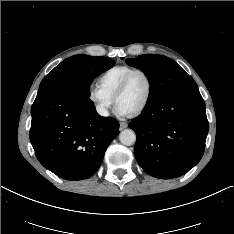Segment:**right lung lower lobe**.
<instances>
[{"label": "right lung lower lobe", "mask_w": 234, "mask_h": 234, "mask_svg": "<svg viewBox=\"0 0 234 234\" xmlns=\"http://www.w3.org/2000/svg\"><path fill=\"white\" fill-rule=\"evenodd\" d=\"M30 141L39 162L57 176L83 180L100 167L119 123L97 114L92 101L68 82L38 90Z\"/></svg>", "instance_id": "98d812e1"}]
</instances>
